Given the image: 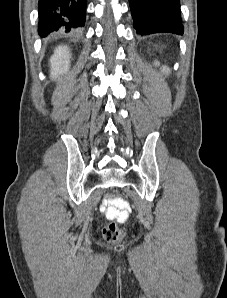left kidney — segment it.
Instances as JSON below:
<instances>
[{
    "label": "left kidney",
    "instance_id": "obj_1",
    "mask_svg": "<svg viewBox=\"0 0 227 298\" xmlns=\"http://www.w3.org/2000/svg\"><path fill=\"white\" fill-rule=\"evenodd\" d=\"M156 65H159V63L156 61V63H155ZM163 72H165V73H170V69L168 68V67H163Z\"/></svg>",
    "mask_w": 227,
    "mask_h": 298
}]
</instances>
